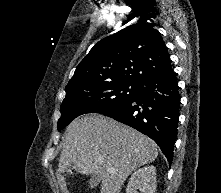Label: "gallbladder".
Listing matches in <instances>:
<instances>
[{
  "instance_id": "bac80fb5",
  "label": "gallbladder",
  "mask_w": 221,
  "mask_h": 193,
  "mask_svg": "<svg viewBox=\"0 0 221 193\" xmlns=\"http://www.w3.org/2000/svg\"><path fill=\"white\" fill-rule=\"evenodd\" d=\"M99 183H100V179L97 176H92L89 182L91 188L98 186Z\"/></svg>"
}]
</instances>
